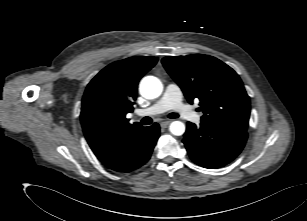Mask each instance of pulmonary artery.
<instances>
[{"mask_svg": "<svg viewBox=\"0 0 307 221\" xmlns=\"http://www.w3.org/2000/svg\"><path fill=\"white\" fill-rule=\"evenodd\" d=\"M183 94L177 84H168L165 88L163 96L151 107L147 109H139L136 111L138 116L158 115L168 110H175L178 114L192 120L199 122L201 119L200 114L191 110V108L183 104Z\"/></svg>", "mask_w": 307, "mask_h": 221, "instance_id": "e3ab8cb5", "label": "pulmonary artery"}]
</instances>
